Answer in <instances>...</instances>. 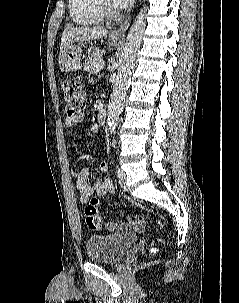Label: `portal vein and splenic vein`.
I'll return each instance as SVG.
<instances>
[{
	"label": "portal vein and splenic vein",
	"instance_id": "1",
	"mask_svg": "<svg viewBox=\"0 0 239 303\" xmlns=\"http://www.w3.org/2000/svg\"><path fill=\"white\" fill-rule=\"evenodd\" d=\"M98 67L100 69H102L104 67V61H100L99 64H98Z\"/></svg>",
	"mask_w": 239,
	"mask_h": 303
}]
</instances>
